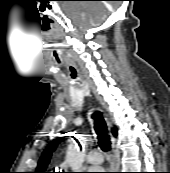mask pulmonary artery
Returning <instances> with one entry per match:
<instances>
[{"label":"pulmonary artery","instance_id":"1","mask_svg":"<svg viewBox=\"0 0 170 173\" xmlns=\"http://www.w3.org/2000/svg\"><path fill=\"white\" fill-rule=\"evenodd\" d=\"M87 161L92 165H99L103 162V155L99 150H91L87 154Z\"/></svg>","mask_w":170,"mask_h":173}]
</instances>
